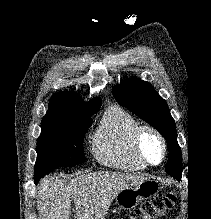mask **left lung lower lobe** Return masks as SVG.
<instances>
[{"label": "left lung lower lobe", "mask_w": 211, "mask_h": 219, "mask_svg": "<svg viewBox=\"0 0 211 219\" xmlns=\"http://www.w3.org/2000/svg\"><path fill=\"white\" fill-rule=\"evenodd\" d=\"M168 158H169V160L167 163H169L171 165H176V164H179L180 162H182L181 153L175 149L169 150Z\"/></svg>", "instance_id": "left-lung-lower-lobe-1"}]
</instances>
